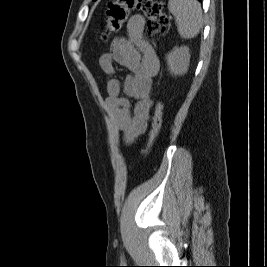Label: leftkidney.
<instances>
[{"label": "left kidney", "instance_id": "left-kidney-1", "mask_svg": "<svg viewBox=\"0 0 267 267\" xmlns=\"http://www.w3.org/2000/svg\"><path fill=\"white\" fill-rule=\"evenodd\" d=\"M168 71L172 75H184L188 71L190 54L187 46L175 47L167 56Z\"/></svg>", "mask_w": 267, "mask_h": 267}]
</instances>
